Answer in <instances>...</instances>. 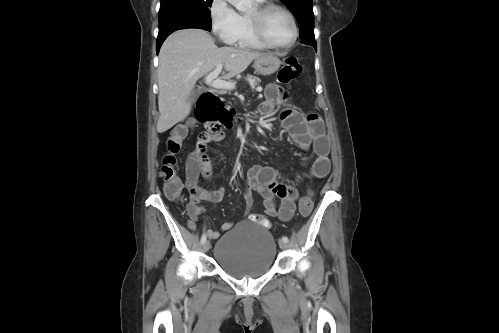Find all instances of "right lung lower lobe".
Listing matches in <instances>:
<instances>
[{"mask_svg":"<svg viewBox=\"0 0 499 333\" xmlns=\"http://www.w3.org/2000/svg\"><path fill=\"white\" fill-rule=\"evenodd\" d=\"M200 29H203V28H200ZM205 30V29H204ZM207 31H210V30H207ZM174 32V31H173ZM172 32H168L166 34H163V35H158V38H157V44H156V48H157V54L160 50V47L162 45V43L164 42V40L171 34Z\"/></svg>","mask_w":499,"mask_h":333,"instance_id":"98d812e1","label":"right lung lower lobe"}]
</instances>
